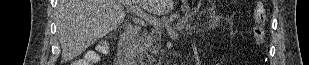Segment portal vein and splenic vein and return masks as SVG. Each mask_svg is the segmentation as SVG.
Instances as JSON below:
<instances>
[{"label":"portal vein and splenic vein","instance_id":"1","mask_svg":"<svg viewBox=\"0 0 309 65\" xmlns=\"http://www.w3.org/2000/svg\"><path fill=\"white\" fill-rule=\"evenodd\" d=\"M131 9L134 14L143 18L148 23L152 24L154 27L158 28L160 26V23L155 17L145 13L138 5L132 6Z\"/></svg>","mask_w":309,"mask_h":65}]
</instances>
